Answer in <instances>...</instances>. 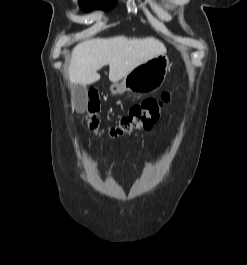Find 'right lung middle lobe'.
Instances as JSON below:
<instances>
[{
	"instance_id": "1",
	"label": "right lung middle lobe",
	"mask_w": 247,
	"mask_h": 265,
	"mask_svg": "<svg viewBox=\"0 0 247 265\" xmlns=\"http://www.w3.org/2000/svg\"><path fill=\"white\" fill-rule=\"evenodd\" d=\"M116 3V0H80L79 4L84 11H91L93 9H111Z\"/></svg>"
}]
</instances>
